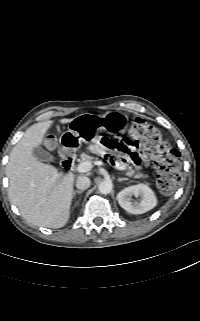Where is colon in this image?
I'll return each mask as SVG.
<instances>
[{
  "instance_id": "obj_1",
  "label": "colon",
  "mask_w": 200,
  "mask_h": 321,
  "mask_svg": "<svg viewBox=\"0 0 200 321\" xmlns=\"http://www.w3.org/2000/svg\"><path fill=\"white\" fill-rule=\"evenodd\" d=\"M131 137L136 140L135 146L153 159L159 189L166 194L177 189L181 182L179 152L163 139L156 127L141 119L133 123Z\"/></svg>"
}]
</instances>
